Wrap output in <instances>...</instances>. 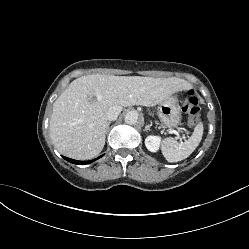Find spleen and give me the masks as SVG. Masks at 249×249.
<instances>
[{"label":"spleen","mask_w":249,"mask_h":249,"mask_svg":"<svg viewBox=\"0 0 249 249\" xmlns=\"http://www.w3.org/2000/svg\"><path fill=\"white\" fill-rule=\"evenodd\" d=\"M203 136V124L198 123L191 137L185 142L178 143L173 138H166L163 141V155L168 162H178L190 156L198 147Z\"/></svg>","instance_id":"3e777b00"}]
</instances>
